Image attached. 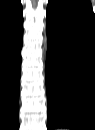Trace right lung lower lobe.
Wrapping results in <instances>:
<instances>
[{
    "label": "right lung lower lobe",
    "mask_w": 95,
    "mask_h": 130,
    "mask_svg": "<svg viewBox=\"0 0 95 130\" xmlns=\"http://www.w3.org/2000/svg\"><path fill=\"white\" fill-rule=\"evenodd\" d=\"M23 26L0 35V116L9 129H18L19 80Z\"/></svg>",
    "instance_id": "98d812e1"
}]
</instances>
